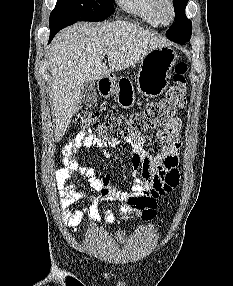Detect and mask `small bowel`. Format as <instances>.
Listing matches in <instances>:
<instances>
[{
  "mask_svg": "<svg viewBox=\"0 0 233 286\" xmlns=\"http://www.w3.org/2000/svg\"><path fill=\"white\" fill-rule=\"evenodd\" d=\"M181 125L180 118L172 117L163 127L156 130L160 151L154 155L144 149V144L150 140L148 137L136 135L125 139V142L131 147V175L134 177L130 191L114 188L109 176L100 177L93 167L83 165L77 160V154L83 148L96 147L108 155L107 147H116L120 142L102 140L95 136L90 129L80 131L75 139L64 148L63 167L55 173L62 218L68 230L75 233L85 216L91 224L100 223V205L103 202L119 201L122 203L119 213L122 216L131 215L128 201L142 192L150 194L152 204L141 216L144 220L152 219L156 212L155 200L172 192L179 185L178 164ZM139 171H141L140 177H138ZM73 176L83 177L89 187L98 195L89 196L82 192L77 185L70 183L69 179ZM80 200L89 202V206L83 210H71L70 206ZM103 216L107 223H113L116 218L111 210H104Z\"/></svg>",
  "mask_w": 233,
  "mask_h": 286,
  "instance_id": "obj_1",
  "label": "small bowel"
}]
</instances>
